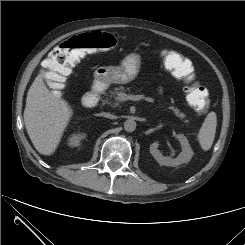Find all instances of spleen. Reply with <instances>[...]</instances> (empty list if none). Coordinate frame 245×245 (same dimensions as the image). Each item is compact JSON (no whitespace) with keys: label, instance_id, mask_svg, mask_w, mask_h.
Masks as SVG:
<instances>
[{"label":"spleen","instance_id":"3e777b00","mask_svg":"<svg viewBox=\"0 0 245 245\" xmlns=\"http://www.w3.org/2000/svg\"><path fill=\"white\" fill-rule=\"evenodd\" d=\"M217 126V116L215 112H210L198 133V141L204 151H208L213 144Z\"/></svg>","mask_w":245,"mask_h":245}]
</instances>
